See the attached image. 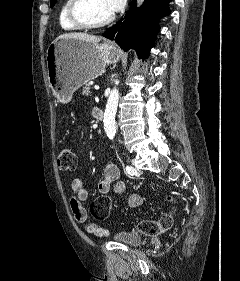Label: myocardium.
I'll list each match as a JSON object with an SVG mask.
<instances>
[{"label":"myocardium","instance_id":"myocardium-1","mask_svg":"<svg viewBox=\"0 0 240 281\" xmlns=\"http://www.w3.org/2000/svg\"><path fill=\"white\" fill-rule=\"evenodd\" d=\"M86 2V0H69V4L67 7V16L70 22L75 26L83 29H96L104 27L114 20V13L101 21L89 20L81 11Z\"/></svg>","mask_w":240,"mask_h":281}]
</instances>
